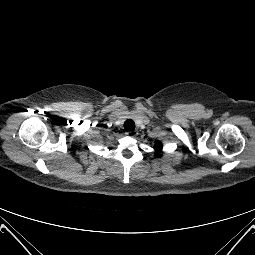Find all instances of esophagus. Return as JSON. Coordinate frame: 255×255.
<instances>
[{
	"instance_id": "obj_1",
	"label": "esophagus",
	"mask_w": 255,
	"mask_h": 255,
	"mask_svg": "<svg viewBox=\"0 0 255 255\" xmlns=\"http://www.w3.org/2000/svg\"><path fill=\"white\" fill-rule=\"evenodd\" d=\"M137 134H138V132L136 130L126 132V135L129 137H136Z\"/></svg>"
}]
</instances>
